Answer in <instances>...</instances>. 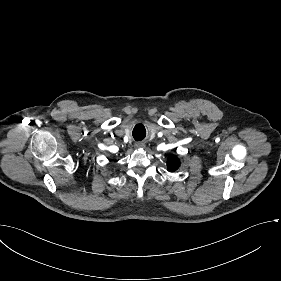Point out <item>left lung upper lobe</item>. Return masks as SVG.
<instances>
[{
    "mask_svg": "<svg viewBox=\"0 0 281 281\" xmlns=\"http://www.w3.org/2000/svg\"><path fill=\"white\" fill-rule=\"evenodd\" d=\"M179 166H180V161L178 157L172 155L168 158V162H167L168 171L174 172L179 168Z\"/></svg>",
    "mask_w": 281,
    "mask_h": 281,
    "instance_id": "obj_1",
    "label": "left lung upper lobe"
}]
</instances>
